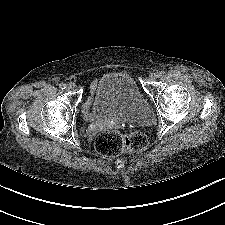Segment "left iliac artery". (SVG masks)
I'll use <instances>...</instances> for the list:
<instances>
[{"label": "left iliac artery", "instance_id": "1", "mask_svg": "<svg viewBox=\"0 0 225 225\" xmlns=\"http://www.w3.org/2000/svg\"><path fill=\"white\" fill-rule=\"evenodd\" d=\"M157 74H158V77H160V76H162V75H164V74H165V71H164V70H162V71L158 72Z\"/></svg>", "mask_w": 225, "mask_h": 225}]
</instances>
